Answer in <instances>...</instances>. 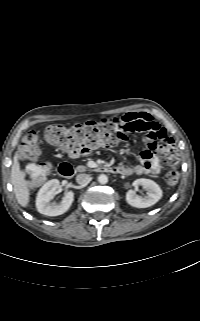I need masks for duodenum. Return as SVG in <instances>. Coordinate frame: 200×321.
<instances>
[{"mask_svg":"<svg viewBox=\"0 0 200 321\" xmlns=\"http://www.w3.org/2000/svg\"><path fill=\"white\" fill-rule=\"evenodd\" d=\"M99 172L118 173L114 166L100 165L96 168ZM58 173L63 178H71L74 175V168L68 163H62L58 167Z\"/></svg>","mask_w":200,"mask_h":321,"instance_id":"obj_1","label":"duodenum"}]
</instances>
